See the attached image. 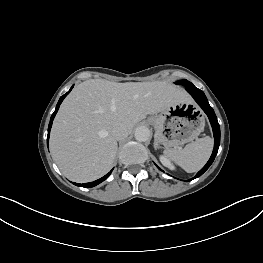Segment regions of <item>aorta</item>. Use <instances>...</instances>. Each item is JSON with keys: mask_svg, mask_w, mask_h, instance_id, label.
Here are the masks:
<instances>
[{"mask_svg": "<svg viewBox=\"0 0 263 263\" xmlns=\"http://www.w3.org/2000/svg\"><path fill=\"white\" fill-rule=\"evenodd\" d=\"M135 139L139 142H145L148 141L150 136H151V132L149 130L148 127L146 126H139L136 128L135 130Z\"/></svg>", "mask_w": 263, "mask_h": 263, "instance_id": "1", "label": "aorta"}]
</instances>
